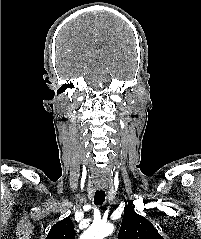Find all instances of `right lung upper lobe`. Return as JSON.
Segmentation results:
<instances>
[{
  "label": "right lung upper lobe",
  "mask_w": 201,
  "mask_h": 239,
  "mask_svg": "<svg viewBox=\"0 0 201 239\" xmlns=\"http://www.w3.org/2000/svg\"><path fill=\"white\" fill-rule=\"evenodd\" d=\"M46 239H75V230L70 217L53 225Z\"/></svg>",
  "instance_id": "right-lung-upper-lobe-1"
}]
</instances>
